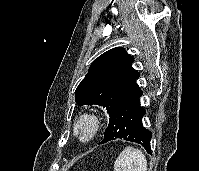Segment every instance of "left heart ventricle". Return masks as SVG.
<instances>
[{"label": "left heart ventricle", "mask_w": 199, "mask_h": 171, "mask_svg": "<svg viewBox=\"0 0 199 171\" xmlns=\"http://www.w3.org/2000/svg\"><path fill=\"white\" fill-rule=\"evenodd\" d=\"M81 131H82L83 135H85L87 133V128L86 127H82Z\"/></svg>", "instance_id": "left-heart-ventricle-1"}]
</instances>
